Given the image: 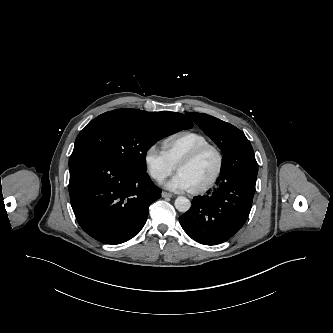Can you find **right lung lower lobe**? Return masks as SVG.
Listing matches in <instances>:
<instances>
[{"label": "right lung lower lobe", "mask_w": 333, "mask_h": 333, "mask_svg": "<svg viewBox=\"0 0 333 333\" xmlns=\"http://www.w3.org/2000/svg\"><path fill=\"white\" fill-rule=\"evenodd\" d=\"M69 170L76 219L87 234L105 244L134 237L146 223L150 204L161 196L146 172L132 171L87 147L73 150Z\"/></svg>", "instance_id": "98d812e1"}]
</instances>
